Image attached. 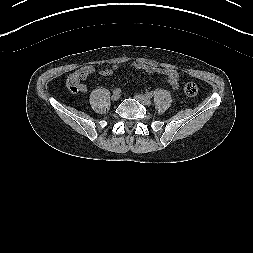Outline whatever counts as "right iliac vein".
Listing matches in <instances>:
<instances>
[{
	"mask_svg": "<svg viewBox=\"0 0 253 253\" xmlns=\"http://www.w3.org/2000/svg\"><path fill=\"white\" fill-rule=\"evenodd\" d=\"M119 98H120V95L117 94V93H114V94L112 95V97H111V99H112L113 101H116V100H118Z\"/></svg>",
	"mask_w": 253,
	"mask_h": 253,
	"instance_id": "obj_1",
	"label": "right iliac vein"
}]
</instances>
